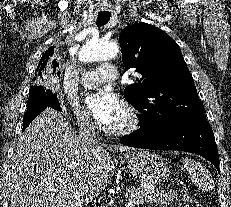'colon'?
I'll use <instances>...</instances> for the list:
<instances>
[{"label":"colon","mask_w":231,"mask_h":207,"mask_svg":"<svg viewBox=\"0 0 231 207\" xmlns=\"http://www.w3.org/2000/svg\"><path fill=\"white\" fill-rule=\"evenodd\" d=\"M184 207H202V206L196 199L187 196L184 202Z\"/></svg>","instance_id":"obj_1"}]
</instances>
